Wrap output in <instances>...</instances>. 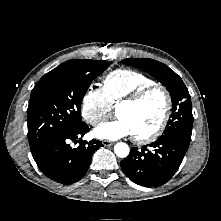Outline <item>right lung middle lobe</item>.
<instances>
[{"instance_id":"obj_1","label":"right lung middle lobe","mask_w":221,"mask_h":221,"mask_svg":"<svg viewBox=\"0 0 221 221\" xmlns=\"http://www.w3.org/2000/svg\"><path fill=\"white\" fill-rule=\"evenodd\" d=\"M107 61L73 59L45 74L31 92L28 116L30 148L83 123L80 107L92 80Z\"/></svg>"}]
</instances>
